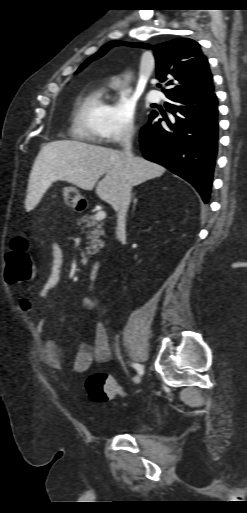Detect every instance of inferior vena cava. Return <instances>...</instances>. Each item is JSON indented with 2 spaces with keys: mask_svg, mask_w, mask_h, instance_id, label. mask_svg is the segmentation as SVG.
<instances>
[{
  "mask_svg": "<svg viewBox=\"0 0 247 513\" xmlns=\"http://www.w3.org/2000/svg\"><path fill=\"white\" fill-rule=\"evenodd\" d=\"M132 136L133 132L128 131L126 132L121 140V145L123 147L125 156H126V166L127 168H131L132 165ZM131 189L132 186L130 183H123L122 186L119 189V193L116 197V199L111 203L114 210L117 212L118 217V229H117V236L120 240L124 237L125 234V218L126 213L130 204L131 199Z\"/></svg>",
  "mask_w": 247,
  "mask_h": 513,
  "instance_id": "1",
  "label": "inferior vena cava"
}]
</instances>
